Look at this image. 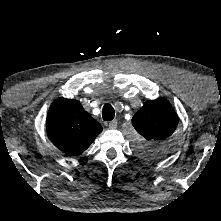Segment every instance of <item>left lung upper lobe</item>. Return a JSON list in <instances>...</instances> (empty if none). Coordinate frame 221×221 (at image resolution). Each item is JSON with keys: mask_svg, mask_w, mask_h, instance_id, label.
<instances>
[{"mask_svg": "<svg viewBox=\"0 0 221 221\" xmlns=\"http://www.w3.org/2000/svg\"><path fill=\"white\" fill-rule=\"evenodd\" d=\"M177 124V113L166 99L147 101L132 118L137 153L150 161L167 157L172 149L171 135Z\"/></svg>", "mask_w": 221, "mask_h": 221, "instance_id": "1", "label": "left lung upper lobe"}]
</instances>
